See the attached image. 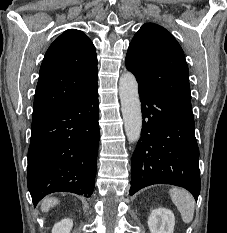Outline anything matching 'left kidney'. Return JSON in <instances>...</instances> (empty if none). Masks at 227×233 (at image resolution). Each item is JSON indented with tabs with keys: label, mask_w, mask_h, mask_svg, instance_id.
Here are the masks:
<instances>
[{
	"label": "left kidney",
	"mask_w": 227,
	"mask_h": 233,
	"mask_svg": "<svg viewBox=\"0 0 227 233\" xmlns=\"http://www.w3.org/2000/svg\"><path fill=\"white\" fill-rule=\"evenodd\" d=\"M175 216L167 208H157L148 217V227L151 233H173Z\"/></svg>",
	"instance_id": "1"
}]
</instances>
